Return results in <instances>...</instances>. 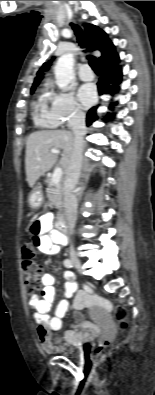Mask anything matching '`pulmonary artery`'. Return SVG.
Instances as JSON below:
<instances>
[{
  "instance_id": "pulmonary-artery-1",
  "label": "pulmonary artery",
  "mask_w": 155,
  "mask_h": 395,
  "mask_svg": "<svg viewBox=\"0 0 155 395\" xmlns=\"http://www.w3.org/2000/svg\"><path fill=\"white\" fill-rule=\"evenodd\" d=\"M79 77L83 81H91L94 79V74L88 65H82L78 71Z\"/></svg>"
}]
</instances>
